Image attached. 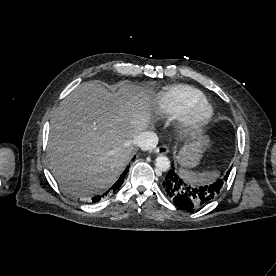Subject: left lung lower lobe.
<instances>
[{"label": "left lung lower lobe", "mask_w": 276, "mask_h": 276, "mask_svg": "<svg viewBox=\"0 0 276 276\" xmlns=\"http://www.w3.org/2000/svg\"><path fill=\"white\" fill-rule=\"evenodd\" d=\"M231 169L223 179L208 186L199 187L190 185L172 166L163 181V189L176 206L184 209L200 208L219 194Z\"/></svg>", "instance_id": "0a47b994"}]
</instances>
